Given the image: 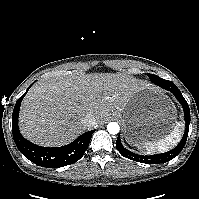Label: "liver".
<instances>
[{"label": "liver", "instance_id": "obj_1", "mask_svg": "<svg viewBox=\"0 0 199 199\" xmlns=\"http://www.w3.org/2000/svg\"><path fill=\"white\" fill-rule=\"evenodd\" d=\"M139 90L135 79L122 74L40 81L30 88L23 99L19 116L21 133L40 145L67 144L93 127L82 123L86 115L93 116L96 124L102 122L111 112L125 108ZM165 102L169 106V102ZM169 108L174 117L175 107L172 105Z\"/></svg>", "mask_w": 199, "mask_h": 199}]
</instances>
